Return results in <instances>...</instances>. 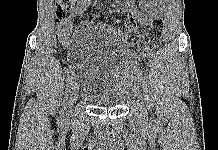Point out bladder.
Wrapping results in <instances>:
<instances>
[{"label":"bladder","mask_w":218,"mask_h":150,"mask_svg":"<svg viewBox=\"0 0 218 150\" xmlns=\"http://www.w3.org/2000/svg\"><path fill=\"white\" fill-rule=\"evenodd\" d=\"M76 80L80 95L100 107L120 105L131 92L135 75L108 33L92 31L80 42Z\"/></svg>","instance_id":"obj_1"}]
</instances>
